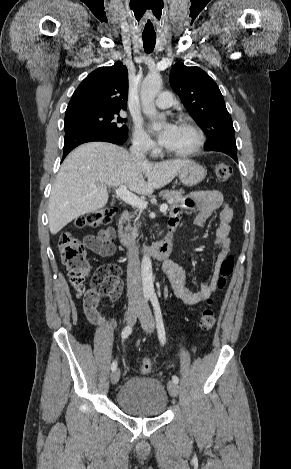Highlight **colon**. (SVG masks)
Returning <instances> with one entry per match:
<instances>
[{
  "label": "colon",
  "instance_id": "5ec220e1",
  "mask_svg": "<svg viewBox=\"0 0 291 469\" xmlns=\"http://www.w3.org/2000/svg\"><path fill=\"white\" fill-rule=\"evenodd\" d=\"M215 176L219 182H225L232 176V167L225 162H218L215 165ZM114 215V209L105 208L90 212L76 220L78 229L96 228L108 224ZM88 242H81L72 233L66 232L59 239V252L63 265L68 270L71 284L78 291H84L83 307L84 312L90 322L99 324L102 317L98 311L101 296L116 294L121 289L119 276L121 269L115 264H106L98 268L91 274V267L87 260L85 246ZM113 244L110 251L113 252ZM234 259L232 256L226 257L220 266V276L217 282L219 288H223L227 278L232 274ZM89 279V287L85 288V283ZM112 299V298H111ZM216 317L211 307V302L204 307L199 317V326L202 330H210L214 327ZM153 370V363L149 358H143L140 364L142 374H150Z\"/></svg>",
  "mask_w": 291,
  "mask_h": 469
}]
</instances>
